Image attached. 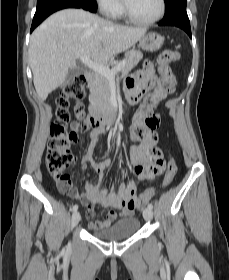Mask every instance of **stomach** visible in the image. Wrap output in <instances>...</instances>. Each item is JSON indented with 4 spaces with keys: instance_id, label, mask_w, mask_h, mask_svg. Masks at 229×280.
<instances>
[{
    "instance_id": "stomach-1",
    "label": "stomach",
    "mask_w": 229,
    "mask_h": 280,
    "mask_svg": "<svg viewBox=\"0 0 229 280\" xmlns=\"http://www.w3.org/2000/svg\"><path fill=\"white\" fill-rule=\"evenodd\" d=\"M140 46L145 51H157L163 44V37L157 33H148L139 40Z\"/></svg>"
}]
</instances>
